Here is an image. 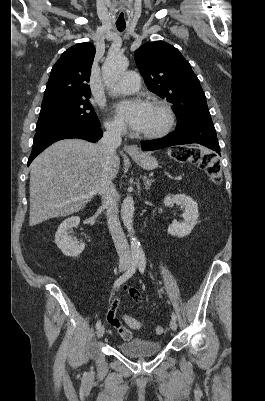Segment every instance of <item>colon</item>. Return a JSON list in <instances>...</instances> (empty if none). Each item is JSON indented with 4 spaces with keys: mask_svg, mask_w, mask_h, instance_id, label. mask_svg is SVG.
I'll use <instances>...</instances> for the list:
<instances>
[{
    "mask_svg": "<svg viewBox=\"0 0 265 401\" xmlns=\"http://www.w3.org/2000/svg\"><path fill=\"white\" fill-rule=\"evenodd\" d=\"M169 155L172 159L178 162L191 161L195 163L199 168L207 173L209 180L212 183H220L221 165L213 153L203 151L197 147L178 146L170 149ZM107 317L110 323L119 329L122 338L127 339L130 336V330L123 328L120 321L112 313L108 312ZM123 319L132 328L137 329L141 326V323L131 316L124 315ZM155 332L158 335H161L164 333V328L162 326H157Z\"/></svg>",
    "mask_w": 265,
    "mask_h": 401,
    "instance_id": "colon-1",
    "label": "colon"
}]
</instances>
